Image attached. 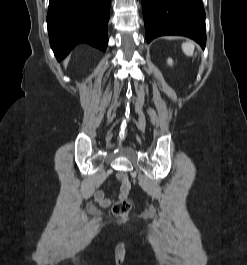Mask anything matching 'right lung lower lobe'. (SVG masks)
<instances>
[{
	"mask_svg": "<svg viewBox=\"0 0 247 265\" xmlns=\"http://www.w3.org/2000/svg\"><path fill=\"white\" fill-rule=\"evenodd\" d=\"M110 2L111 0L49 1V40L59 61L79 43H88L106 50Z\"/></svg>",
	"mask_w": 247,
	"mask_h": 265,
	"instance_id": "right-lung-lower-lobe-1",
	"label": "right lung lower lobe"
}]
</instances>
